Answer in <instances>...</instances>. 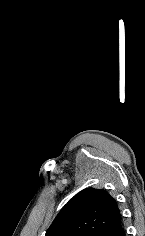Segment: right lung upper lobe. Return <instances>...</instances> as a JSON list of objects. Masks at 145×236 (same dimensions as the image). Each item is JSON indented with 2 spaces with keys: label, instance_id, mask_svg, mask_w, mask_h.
Listing matches in <instances>:
<instances>
[{
  "label": "right lung upper lobe",
  "instance_id": "1",
  "mask_svg": "<svg viewBox=\"0 0 145 236\" xmlns=\"http://www.w3.org/2000/svg\"><path fill=\"white\" fill-rule=\"evenodd\" d=\"M120 220V210L105 190L86 188L61 209L45 236H98Z\"/></svg>",
  "mask_w": 145,
  "mask_h": 236
}]
</instances>
